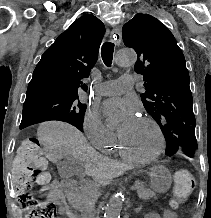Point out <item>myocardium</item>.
<instances>
[{
    "label": "myocardium",
    "instance_id": "myocardium-1",
    "mask_svg": "<svg viewBox=\"0 0 211 218\" xmlns=\"http://www.w3.org/2000/svg\"><path fill=\"white\" fill-rule=\"evenodd\" d=\"M142 119H145L148 122H150L157 132V135L159 138V147H158L157 151L149 156H140V155H137V154L131 152L129 149H127V147L125 146L121 137L118 138L117 144H118V147H119L121 154L124 157H126L132 161L138 162V163H150V162L157 160L164 151V133H163V130H162L161 126L159 125V123L151 116L145 115L142 117Z\"/></svg>",
    "mask_w": 211,
    "mask_h": 218
}]
</instances>
